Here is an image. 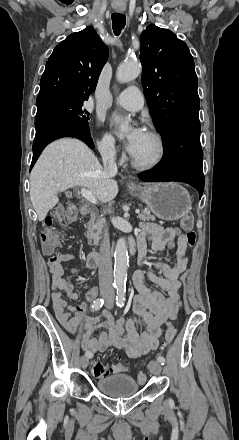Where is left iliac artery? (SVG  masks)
Listing matches in <instances>:
<instances>
[{"instance_id":"left-iliac-artery-1","label":"left iliac artery","mask_w":239,"mask_h":440,"mask_svg":"<svg viewBox=\"0 0 239 440\" xmlns=\"http://www.w3.org/2000/svg\"><path fill=\"white\" fill-rule=\"evenodd\" d=\"M125 292H126V288L125 287H120L117 290L116 303H117V306H119V307H122L124 305V302H125ZM156 361L161 363V365H163L165 363V358L163 356H158Z\"/></svg>"}]
</instances>
